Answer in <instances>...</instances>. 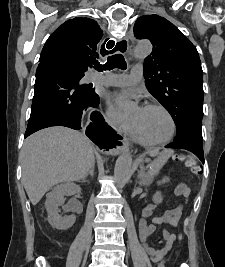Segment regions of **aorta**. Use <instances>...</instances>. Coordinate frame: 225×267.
<instances>
[{
	"label": "aorta",
	"instance_id": "aorta-1",
	"mask_svg": "<svg viewBox=\"0 0 225 267\" xmlns=\"http://www.w3.org/2000/svg\"><path fill=\"white\" fill-rule=\"evenodd\" d=\"M152 50V45L149 42H140L135 47V56L143 58ZM132 166V158L128 153L122 154L116 160L114 168V179L118 186L123 187L130 177Z\"/></svg>",
	"mask_w": 225,
	"mask_h": 267
}]
</instances>
